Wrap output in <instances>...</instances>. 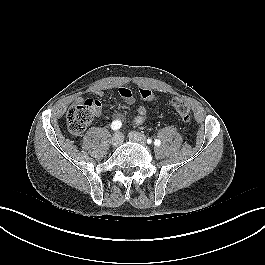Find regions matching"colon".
<instances>
[{
    "label": "colon",
    "mask_w": 265,
    "mask_h": 265,
    "mask_svg": "<svg viewBox=\"0 0 265 265\" xmlns=\"http://www.w3.org/2000/svg\"><path fill=\"white\" fill-rule=\"evenodd\" d=\"M138 94L144 101H152L155 97L153 91L146 87L138 88ZM171 105L184 123L190 122V107L186 101L175 97L171 100ZM100 108V103L94 99L86 100L83 103L71 106L66 115L69 132L73 135L82 134L92 120L98 115Z\"/></svg>",
    "instance_id": "colon-1"
}]
</instances>
